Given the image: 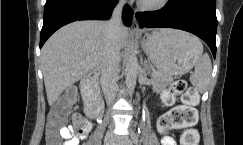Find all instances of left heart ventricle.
Segmentation results:
<instances>
[{
	"mask_svg": "<svg viewBox=\"0 0 243 145\" xmlns=\"http://www.w3.org/2000/svg\"><path fill=\"white\" fill-rule=\"evenodd\" d=\"M143 1H148V2H151V1H155V0H143Z\"/></svg>",
	"mask_w": 243,
	"mask_h": 145,
	"instance_id": "b2bd125f",
	"label": "left heart ventricle"
}]
</instances>
